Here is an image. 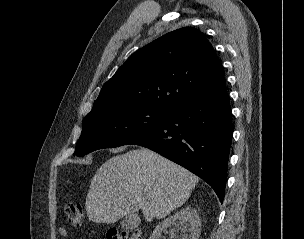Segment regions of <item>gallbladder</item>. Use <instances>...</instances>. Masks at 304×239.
<instances>
[{"mask_svg":"<svg viewBox=\"0 0 304 239\" xmlns=\"http://www.w3.org/2000/svg\"><path fill=\"white\" fill-rule=\"evenodd\" d=\"M139 223L140 219L137 215L129 214L121 221L120 225L123 229H134Z\"/></svg>","mask_w":304,"mask_h":239,"instance_id":"1","label":"gallbladder"}]
</instances>
